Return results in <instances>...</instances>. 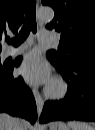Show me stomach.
<instances>
[{
    "label": "stomach",
    "mask_w": 95,
    "mask_h": 130,
    "mask_svg": "<svg viewBox=\"0 0 95 130\" xmlns=\"http://www.w3.org/2000/svg\"><path fill=\"white\" fill-rule=\"evenodd\" d=\"M50 130H69V128L63 122H53L50 125Z\"/></svg>",
    "instance_id": "stomach-1"
}]
</instances>
